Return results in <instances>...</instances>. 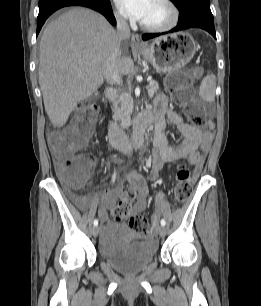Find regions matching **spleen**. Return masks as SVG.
<instances>
[{"label":"spleen","mask_w":261,"mask_h":306,"mask_svg":"<svg viewBox=\"0 0 261 306\" xmlns=\"http://www.w3.org/2000/svg\"><path fill=\"white\" fill-rule=\"evenodd\" d=\"M215 88H216V79L214 75H207L203 78L200 88L199 94L202 99L206 101H213L215 99Z\"/></svg>","instance_id":"spleen-1"}]
</instances>
